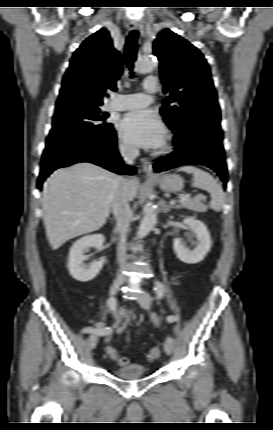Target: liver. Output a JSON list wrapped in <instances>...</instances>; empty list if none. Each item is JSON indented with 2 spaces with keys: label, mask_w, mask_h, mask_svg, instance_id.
Segmentation results:
<instances>
[{
  "label": "liver",
  "mask_w": 273,
  "mask_h": 430,
  "mask_svg": "<svg viewBox=\"0 0 273 430\" xmlns=\"http://www.w3.org/2000/svg\"><path fill=\"white\" fill-rule=\"evenodd\" d=\"M115 177L90 162L75 163L50 175L44 184L42 207L46 235L53 250L105 224ZM124 190L128 201H133L137 182L126 179Z\"/></svg>",
  "instance_id": "obj_1"
}]
</instances>
